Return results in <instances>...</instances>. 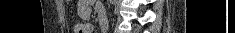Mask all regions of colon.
I'll return each instance as SVG.
<instances>
[{"mask_svg": "<svg viewBox=\"0 0 235 33\" xmlns=\"http://www.w3.org/2000/svg\"><path fill=\"white\" fill-rule=\"evenodd\" d=\"M74 33H91V28L86 23H77L73 28Z\"/></svg>", "mask_w": 235, "mask_h": 33, "instance_id": "1", "label": "colon"}]
</instances>
